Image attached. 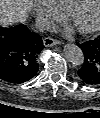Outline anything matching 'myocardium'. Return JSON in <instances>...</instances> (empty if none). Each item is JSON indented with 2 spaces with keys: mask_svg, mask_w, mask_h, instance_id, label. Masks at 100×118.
Returning a JSON list of instances; mask_svg holds the SVG:
<instances>
[{
  "mask_svg": "<svg viewBox=\"0 0 100 118\" xmlns=\"http://www.w3.org/2000/svg\"><path fill=\"white\" fill-rule=\"evenodd\" d=\"M90 0H79L67 11V20L73 22L77 13L86 6ZM100 3V0H99ZM100 29V6L97 13V18L93 25L87 28H80L78 31L83 35H90L97 32Z\"/></svg>",
  "mask_w": 100,
  "mask_h": 118,
  "instance_id": "1",
  "label": "myocardium"
}]
</instances>
